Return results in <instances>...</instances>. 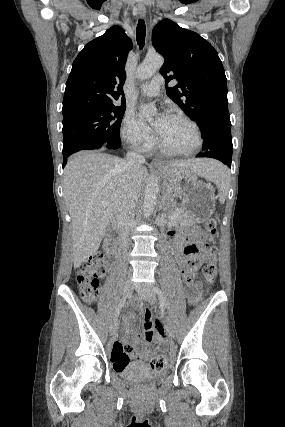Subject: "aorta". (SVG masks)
I'll list each match as a JSON object with an SVG mask.
<instances>
[{
	"label": "aorta",
	"mask_w": 285,
	"mask_h": 427,
	"mask_svg": "<svg viewBox=\"0 0 285 427\" xmlns=\"http://www.w3.org/2000/svg\"><path fill=\"white\" fill-rule=\"evenodd\" d=\"M164 63V58L158 54H149L145 60L137 68V77L141 80L151 78L156 71H158ZM143 109L148 112H156L154 106H144ZM159 193L158 178L151 176L148 180L145 188L144 203H143V214L145 218H148L156 206L157 195Z\"/></svg>",
	"instance_id": "aorta-1"
}]
</instances>
